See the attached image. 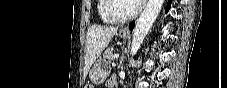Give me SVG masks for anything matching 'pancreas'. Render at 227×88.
Segmentation results:
<instances>
[{"label": "pancreas", "mask_w": 227, "mask_h": 88, "mask_svg": "<svg viewBox=\"0 0 227 88\" xmlns=\"http://www.w3.org/2000/svg\"><path fill=\"white\" fill-rule=\"evenodd\" d=\"M113 51L114 50L112 48L107 49L105 51L104 55H103L104 59H106L107 61H112L114 59L113 58V56H114Z\"/></svg>", "instance_id": "pancreas-1"}]
</instances>
